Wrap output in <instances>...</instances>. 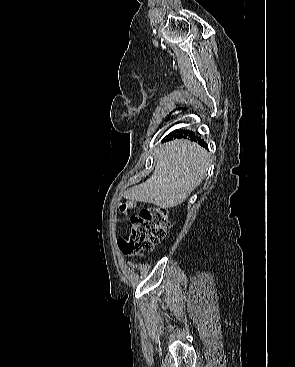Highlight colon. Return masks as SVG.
Returning <instances> with one entry per match:
<instances>
[{
	"label": "colon",
	"mask_w": 295,
	"mask_h": 367,
	"mask_svg": "<svg viewBox=\"0 0 295 367\" xmlns=\"http://www.w3.org/2000/svg\"><path fill=\"white\" fill-rule=\"evenodd\" d=\"M135 206L133 202L121 205L122 211ZM169 217L165 209L153 207L141 210L131 217V232L128 239H121L119 247L124 254H140L152 250L166 236Z\"/></svg>",
	"instance_id": "5ec220e1"
}]
</instances>
